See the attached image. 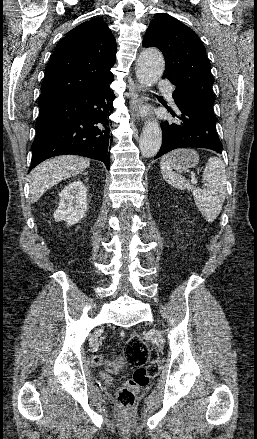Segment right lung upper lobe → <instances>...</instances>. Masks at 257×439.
I'll return each instance as SVG.
<instances>
[{
  "label": "right lung upper lobe",
  "mask_w": 257,
  "mask_h": 439,
  "mask_svg": "<svg viewBox=\"0 0 257 439\" xmlns=\"http://www.w3.org/2000/svg\"><path fill=\"white\" fill-rule=\"evenodd\" d=\"M116 40L100 18L86 21L59 41L47 64L39 106L87 91L113 78Z\"/></svg>",
  "instance_id": "1"
}]
</instances>
